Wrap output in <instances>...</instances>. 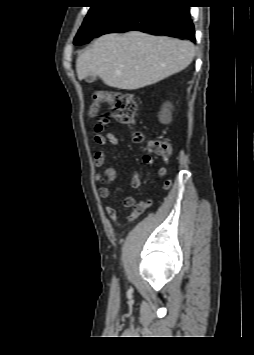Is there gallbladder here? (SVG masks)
<instances>
[{
  "label": "gallbladder",
  "mask_w": 254,
  "mask_h": 355,
  "mask_svg": "<svg viewBox=\"0 0 254 355\" xmlns=\"http://www.w3.org/2000/svg\"><path fill=\"white\" fill-rule=\"evenodd\" d=\"M95 80H96V76H95V75H88V76L85 78V81H86L87 83H93Z\"/></svg>",
  "instance_id": "obj_1"
}]
</instances>
